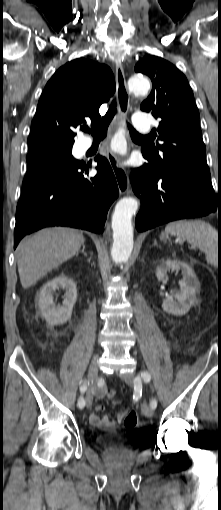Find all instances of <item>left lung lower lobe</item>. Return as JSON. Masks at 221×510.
I'll use <instances>...</instances> for the list:
<instances>
[{
    "instance_id": "0a47b994",
    "label": "left lung lower lobe",
    "mask_w": 221,
    "mask_h": 510,
    "mask_svg": "<svg viewBox=\"0 0 221 510\" xmlns=\"http://www.w3.org/2000/svg\"><path fill=\"white\" fill-rule=\"evenodd\" d=\"M148 161L133 170L132 189L141 199L136 216V229L146 231L158 225L185 218L206 216L217 212L221 219V193L215 194L210 179L188 174H167L153 168ZM221 233L218 224V234Z\"/></svg>"
}]
</instances>
